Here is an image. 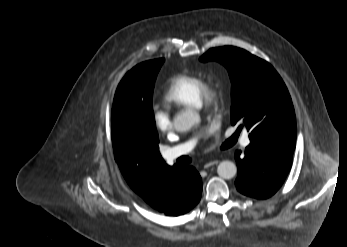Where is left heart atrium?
<instances>
[{
    "label": "left heart atrium",
    "instance_id": "39dd6f15",
    "mask_svg": "<svg viewBox=\"0 0 347 247\" xmlns=\"http://www.w3.org/2000/svg\"><path fill=\"white\" fill-rule=\"evenodd\" d=\"M209 130H210V128H206L203 133L206 134V133H208Z\"/></svg>",
    "mask_w": 347,
    "mask_h": 247
}]
</instances>
